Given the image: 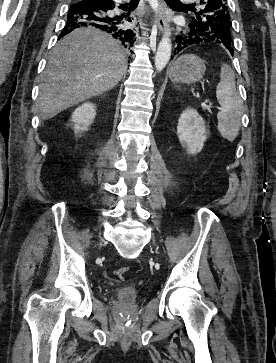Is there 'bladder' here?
Segmentation results:
<instances>
[{
  "mask_svg": "<svg viewBox=\"0 0 276 363\" xmlns=\"http://www.w3.org/2000/svg\"><path fill=\"white\" fill-rule=\"evenodd\" d=\"M118 299L126 304L136 302L138 297V288L135 286H123L116 290Z\"/></svg>",
  "mask_w": 276,
  "mask_h": 363,
  "instance_id": "obj_1",
  "label": "bladder"
}]
</instances>
